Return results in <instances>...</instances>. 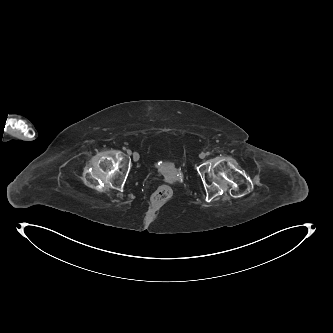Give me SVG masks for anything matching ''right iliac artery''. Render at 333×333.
<instances>
[{"label":"right iliac artery","instance_id":"82829eb1","mask_svg":"<svg viewBox=\"0 0 333 333\" xmlns=\"http://www.w3.org/2000/svg\"><path fill=\"white\" fill-rule=\"evenodd\" d=\"M123 150H126V147H123Z\"/></svg>","mask_w":333,"mask_h":333}]
</instances>
